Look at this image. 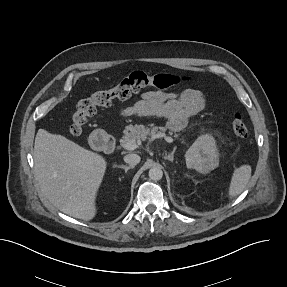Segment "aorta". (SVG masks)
Listing matches in <instances>:
<instances>
[{
	"label": "aorta",
	"instance_id": "aorta-1",
	"mask_svg": "<svg viewBox=\"0 0 287 287\" xmlns=\"http://www.w3.org/2000/svg\"><path fill=\"white\" fill-rule=\"evenodd\" d=\"M163 171L159 167H152L149 170V178L155 181L162 179Z\"/></svg>",
	"mask_w": 287,
	"mask_h": 287
}]
</instances>
